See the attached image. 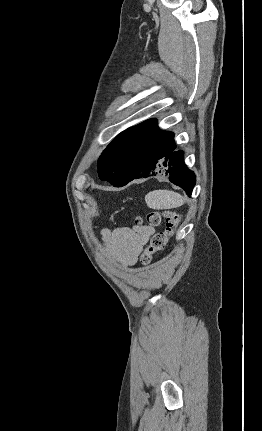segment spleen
Segmentation results:
<instances>
[{"label": "spleen", "mask_w": 262, "mask_h": 431, "mask_svg": "<svg viewBox=\"0 0 262 431\" xmlns=\"http://www.w3.org/2000/svg\"><path fill=\"white\" fill-rule=\"evenodd\" d=\"M146 204L155 210L177 208L184 204V197L171 190H154L145 196Z\"/></svg>", "instance_id": "3e777b00"}]
</instances>
